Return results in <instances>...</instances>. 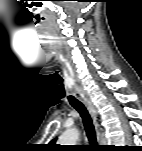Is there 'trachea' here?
<instances>
[{"mask_svg": "<svg viewBox=\"0 0 142 151\" xmlns=\"http://www.w3.org/2000/svg\"><path fill=\"white\" fill-rule=\"evenodd\" d=\"M68 101L70 105L79 112L83 120L86 135L90 143L97 144L95 128L91 116L86 107L84 106V104L72 95L68 96Z\"/></svg>", "mask_w": 142, "mask_h": 151, "instance_id": "obj_1", "label": "trachea"}]
</instances>
